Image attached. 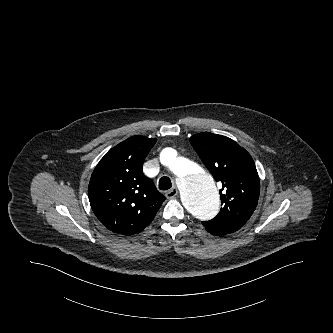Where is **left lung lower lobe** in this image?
<instances>
[{
	"instance_id": "obj_1",
	"label": "left lung lower lobe",
	"mask_w": 333,
	"mask_h": 333,
	"mask_svg": "<svg viewBox=\"0 0 333 333\" xmlns=\"http://www.w3.org/2000/svg\"><path fill=\"white\" fill-rule=\"evenodd\" d=\"M205 227L206 230L216 236H221V235H226L229 233H232V231L226 230V229H220V228H216L213 225L208 224L207 222H203L202 223Z\"/></svg>"
}]
</instances>
